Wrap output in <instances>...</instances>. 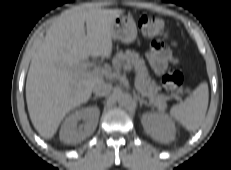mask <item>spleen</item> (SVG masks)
<instances>
[{"label":"spleen","instance_id":"3e777b00","mask_svg":"<svg viewBox=\"0 0 231 170\" xmlns=\"http://www.w3.org/2000/svg\"><path fill=\"white\" fill-rule=\"evenodd\" d=\"M208 85L201 83L183 102L171 108V116L187 130H197L202 124L208 107Z\"/></svg>","mask_w":231,"mask_h":170}]
</instances>
